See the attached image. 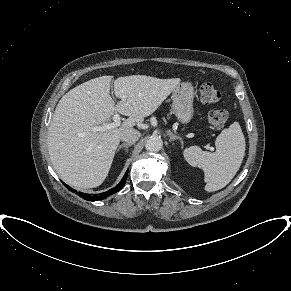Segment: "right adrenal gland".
Listing matches in <instances>:
<instances>
[{
	"label": "right adrenal gland",
	"mask_w": 291,
	"mask_h": 291,
	"mask_svg": "<svg viewBox=\"0 0 291 291\" xmlns=\"http://www.w3.org/2000/svg\"><path fill=\"white\" fill-rule=\"evenodd\" d=\"M131 145H132L131 143H123V144H121V145L118 147V151H119L121 148H125L126 152H128V148H129Z\"/></svg>",
	"instance_id": "2a0ac1e0"
}]
</instances>
